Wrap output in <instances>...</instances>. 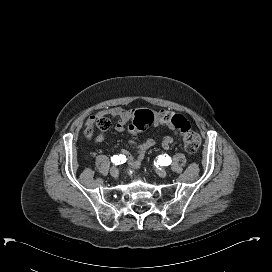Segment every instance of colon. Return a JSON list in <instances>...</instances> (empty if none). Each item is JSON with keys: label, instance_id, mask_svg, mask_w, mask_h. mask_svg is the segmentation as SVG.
Wrapping results in <instances>:
<instances>
[{"label": "colon", "instance_id": "colon-1", "mask_svg": "<svg viewBox=\"0 0 272 272\" xmlns=\"http://www.w3.org/2000/svg\"><path fill=\"white\" fill-rule=\"evenodd\" d=\"M151 120V114L147 111H141L136 113L131 127L142 129L146 127ZM172 125L181 131V137L185 150L189 154H194L198 151L200 146V136L192 129L190 123L179 114L174 115L171 118ZM110 126V120L106 116H97L92 128L87 132V135L91 136L94 129L106 130Z\"/></svg>", "mask_w": 272, "mask_h": 272}]
</instances>
